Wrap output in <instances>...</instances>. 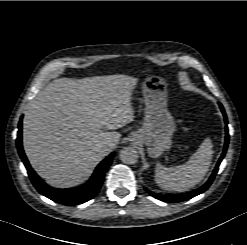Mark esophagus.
Here are the masks:
<instances>
[{"label": "esophagus", "mask_w": 247, "mask_h": 245, "mask_svg": "<svg viewBox=\"0 0 247 245\" xmlns=\"http://www.w3.org/2000/svg\"><path fill=\"white\" fill-rule=\"evenodd\" d=\"M131 141H133V144L137 143L136 139H132Z\"/></svg>", "instance_id": "1"}]
</instances>
